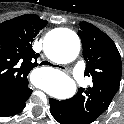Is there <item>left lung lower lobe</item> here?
Wrapping results in <instances>:
<instances>
[{
  "label": "left lung lower lobe",
  "mask_w": 124,
  "mask_h": 124,
  "mask_svg": "<svg viewBox=\"0 0 124 124\" xmlns=\"http://www.w3.org/2000/svg\"><path fill=\"white\" fill-rule=\"evenodd\" d=\"M50 112L60 124H77L73 118L68 100L59 101L50 98Z\"/></svg>",
  "instance_id": "obj_1"
}]
</instances>
